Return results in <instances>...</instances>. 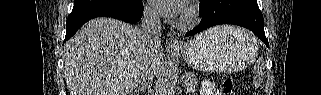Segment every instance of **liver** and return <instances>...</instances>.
Masks as SVG:
<instances>
[{"label":"liver","mask_w":321,"mask_h":95,"mask_svg":"<svg viewBox=\"0 0 321 95\" xmlns=\"http://www.w3.org/2000/svg\"><path fill=\"white\" fill-rule=\"evenodd\" d=\"M215 32L225 27L212 29ZM163 49L152 60L159 71ZM149 60L140 28L111 18L87 22L65 43L64 77L70 95H129Z\"/></svg>","instance_id":"liver-1"}]
</instances>
